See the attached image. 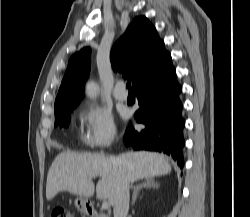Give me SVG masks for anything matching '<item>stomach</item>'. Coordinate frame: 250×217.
<instances>
[{"instance_id":"0dacf381","label":"stomach","mask_w":250,"mask_h":217,"mask_svg":"<svg viewBox=\"0 0 250 217\" xmlns=\"http://www.w3.org/2000/svg\"><path fill=\"white\" fill-rule=\"evenodd\" d=\"M75 207L77 210L83 214L89 213V201L88 198L78 196L74 201Z\"/></svg>"}]
</instances>
